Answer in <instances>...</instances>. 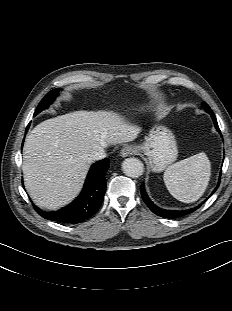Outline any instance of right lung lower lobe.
Returning <instances> with one entry per match:
<instances>
[{
	"instance_id": "right-lung-lower-lobe-1",
	"label": "right lung lower lobe",
	"mask_w": 232,
	"mask_h": 311,
	"mask_svg": "<svg viewBox=\"0 0 232 311\" xmlns=\"http://www.w3.org/2000/svg\"><path fill=\"white\" fill-rule=\"evenodd\" d=\"M29 125L27 126L26 132ZM109 166L110 160L108 158L93 164L89 170L81 194L63 209L56 212H45L33 205L35 210L45 219L65 224H77L87 220L98 211L104 200L106 189L105 173Z\"/></svg>"
}]
</instances>
